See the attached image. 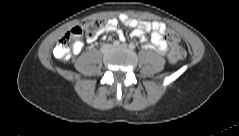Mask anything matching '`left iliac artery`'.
<instances>
[{
  "label": "left iliac artery",
  "instance_id": "obj_1",
  "mask_svg": "<svg viewBox=\"0 0 239 136\" xmlns=\"http://www.w3.org/2000/svg\"><path fill=\"white\" fill-rule=\"evenodd\" d=\"M129 47H130L131 49H134V48H135V45H134L133 43H130V44H129Z\"/></svg>",
  "mask_w": 239,
  "mask_h": 136
}]
</instances>
